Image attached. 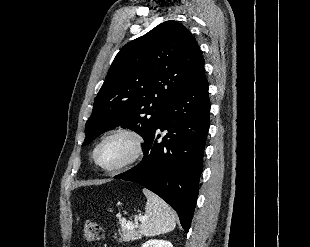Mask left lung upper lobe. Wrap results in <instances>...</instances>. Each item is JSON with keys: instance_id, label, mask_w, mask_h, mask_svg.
<instances>
[{"instance_id": "1", "label": "left lung upper lobe", "mask_w": 310, "mask_h": 247, "mask_svg": "<svg viewBox=\"0 0 310 247\" xmlns=\"http://www.w3.org/2000/svg\"><path fill=\"white\" fill-rule=\"evenodd\" d=\"M199 46L181 23L166 21L116 55L86 123L83 146L128 126L145 142L171 100L203 69Z\"/></svg>"}]
</instances>
